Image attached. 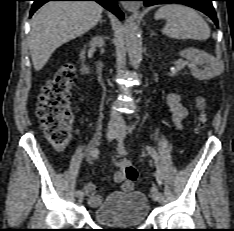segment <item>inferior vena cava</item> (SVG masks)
I'll return each instance as SVG.
<instances>
[{
	"instance_id": "1",
	"label": "inferior vena cava",
	"mask_w": 234,
	"mask_h": 231,
	"mask_svg": "<svg viewBox=\"0 0 234 231\" xmlns=\"http://www.w3.org/2000/svg\"><path fill=\"white\" fill-rule=\"evenodd\" d=\"M109 125L110 126H118V127L124 125L123 117L118 111H116V110L111 111Z\"/></svg>"
}]
</instances>
